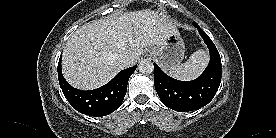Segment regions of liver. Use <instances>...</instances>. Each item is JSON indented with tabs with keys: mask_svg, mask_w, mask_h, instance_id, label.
Returning a JSON list of instances; mask_svg holds the SVG:
<instances>
[{
	"mask_svg": "<svg viewBox=\"0 0 276 138\" xmlns=\"http://www.w3.org/2000/svg\"><path fill=\"white\" fill-rule=\"evenodd\" d=\"M175 24L162 12L150 9L119 13L91 21L68 39L62 54V72L73 87L92 90L109 82L124 69L121 54L134 64L143 48L159 46L173 33Z\"/></svg>",
	"mask_w": 276,
	"mask_h": 138,
	"instance_id": "1",
	"label": "liver"
}]
</instances>
